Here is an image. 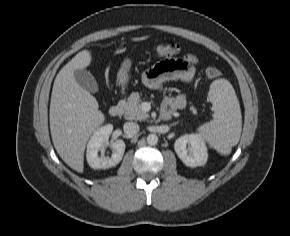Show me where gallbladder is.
<instances>
[{
	"instance_id": "obj_1",
	"label": "gallbladder",
	"mask_w": 290,
	"mask_h": 236,
	"mask_svg": "<svg viewBox=\"0 0 290 236\" xmlns=\"http://www.w3.org/2000/svg\"><path fill=\"white\" fill-rule=\"evenodd\" d=\"M76 82L85 90L91 93H97L99 91L98 84L94 76L84 69H78L74 71Z\"/></svg>"
}]
</instances>
